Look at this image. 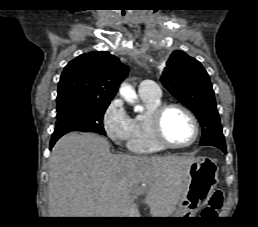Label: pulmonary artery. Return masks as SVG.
<instances>
[{
	"label": "pulmonary artery",
	"mask_w": 258,
	"mask_h": 227,
	"mask_svg": "<svg viewBox=\"0 0 258 227\" xmlns=\"http://www.w3.org/2000/svg\"><path fill=\"white\" fill-rule=\"evenodd\" d=\"M138 92L141 97L160 98V87L151 80H144L139 84Z\"/></svg>",
	"instance_id": "1"
}]
</instances>
